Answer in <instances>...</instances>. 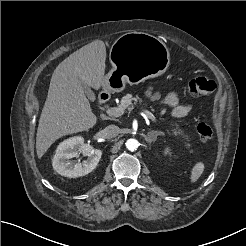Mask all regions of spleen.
<instances>
[{
  "label": "spleen",
  "mask_w": 246,
  "mask_h": 246,
  "mask_svg": "<svg viewBox=\"0 0 246 246\" xmlns=\"http://www.w3.org/2000/svg\"><path fill=\"white\" fill-rule=\"evenodd\" d=\"M204 171V163L203 162H197L192 170H191V175H190V180L192 183L196 182L199 177L202 175Z\"/></svg>",
  "instance_id": "obj_1"
}]
</instances>
